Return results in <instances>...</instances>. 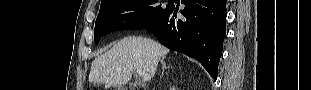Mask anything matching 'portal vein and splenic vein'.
<instances>
[{"label": "portal vein and splenic vein", "mask_w": 311, "mask_h": 90, "mask_svg": "<svg viewBox=\"0 0 311 90\" xmlns=\"http://www.w3.org/2000/svg\"><path fill=\"white\" fill-rule=\"evenodd\" d=\"M137 74L142 77L143 81H150L151 75L143 70L137 69Z\"/></svg>", "instance_id": "18ae733b"}]
</instances>
